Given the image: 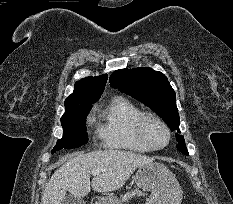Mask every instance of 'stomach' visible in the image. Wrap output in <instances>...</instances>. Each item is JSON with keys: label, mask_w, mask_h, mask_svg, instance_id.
Returning a JSON list of instances; mask_svg holds the SVG:
<instances>
[{"label": "stomach", "mask_w": 233, "mask_h": 204, "mask_svg": "<svg viewBox=\"0 0 233 204\" xmlns=\"http://www.w3.org/2000/svg\"><path fill=\"white\" fill-rule=\"evenodd\" d=\"M136 185L151 195L146 204H181L182 189L175 176L161 163L140 166L133 177ZM104 204H119L105 201Z\"/></svg>", "instance_id": "stomach-1"}]
</instances>
